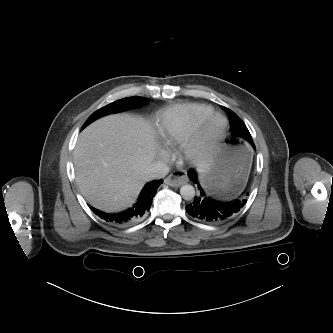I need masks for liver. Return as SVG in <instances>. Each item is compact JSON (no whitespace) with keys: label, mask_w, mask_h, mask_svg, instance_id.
I'll return each instance as SVG.
<instances>
[{"label":"liver","mask_w":333,"mask_h":333,"mask_svg":"<svg viewBox=\"0 0 333 333\" xmlns=\"http://www.w3.org/2000/svg\"><path fill=\"white\" fill-rule=\"evenodd\" d=\"M157 143L151 125L141 117L109 115L84 129L73 163L76 182L92 206L115 212L132 205L147 180ZM208 161H199L202 173Z\"/></svg>","instance_id":"liver-1"}]
</instances>
